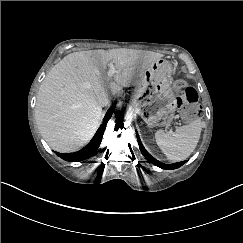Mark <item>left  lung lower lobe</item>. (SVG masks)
<instances>
[{
  "label": "left lung lower lobe",
  "mask_w": 243,
  "mask_h": 243,
  "mask_svg": "<svg viewBox=\"0 0 243 243\" xmlns=\"http://www.w3.org/2000/svg\"><path fill=\"white\" fill-rule=\"evenodd\" d=\"M136 135H137V140H138V144H139V147H140V150L142 152V154L144 155V157L149 161L151 162L152 164L162 168V169H166V170H172V169H176V168H179L180 166H182L186 161H182V162H178V163H174V164H170V165H167V164H164V163H161L160 161L156 160L154 157H152L146 150L145 148L143 147L141 141H140V138L138 136V133L136 132Z\"/></svg>",
  "instance_id": "obj_1"
}]
</instances>
